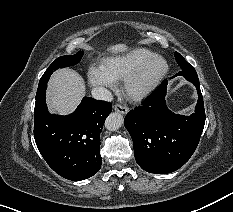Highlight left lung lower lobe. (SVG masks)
<instances>
[{
    "instance_id": "obj_1",
    "label": "left lung lower lobe",
    "mask_w": 233,
    "mask_h": 212,
    "mask_svg": "<svg viewBox=\"0 0 233 212\" xmlns=\"http://www.w3.org/2000/svg\"><path fill=\"white\" fill-rule=\"evenodd\" d=\"M179 75L197 88L199 97L195 113L177 115L167 108L168 81L164 80L140 107L130 111L124 119L134 143L136 162L150 173H171L183 166L194 153L204 128L205 111L198 76L196 72Z\"/></svg>"
}]
</instances>
